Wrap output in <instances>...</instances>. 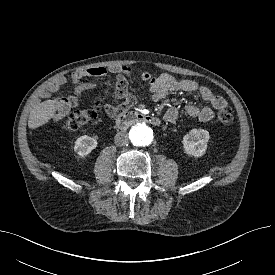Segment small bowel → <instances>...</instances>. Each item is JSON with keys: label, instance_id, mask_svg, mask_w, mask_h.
I'll return each instance as SVG.
<instances>
[{"label": "small bowel", "instance_id": "c3829d8e", "mask_svg": "<svg viewBox=\"0 0 275 275\" xmlns=\"http://www.w3.org/2000/svg\"><path fill=\"white\" fill-rule=\"evenodd\" d=\"M109 73L118 74L117 80L111 85L115 94L116 103H109L105 106V112L111 117H116L135 104V98L130 93L127 85V78L136 76L133 70L127 66L106 67H92L85 69H78L74 71L69 80L75 84L74 91L71 96L61 100L59 110L53 115L54 120L61 117L62 112L74 109L78 106L82 92L93 85L91 83H84L82 79L85 77H103ZM137 77L149 84V91L151 99L158 102L163 99L169 92L180 91L186 93L198 92L200 97L207 102L208 106L198 107L194 104H189L185 107L187 114L199 119L202 122H208L214 117V111L220 110L227 106L226 100L219 95H216L212 90L206 86H199L195 81L189 79H177L170 74H161L159 76H152L148 72H140ZM66 77H59L55 79L49 87L50 92H55L65 84L68 80ZM179 114L177 108H170L164 114L166 122L173 123L176 121Z\"/></svg>", "mask_w": 275, "mask_h": 275}]
</instances>
